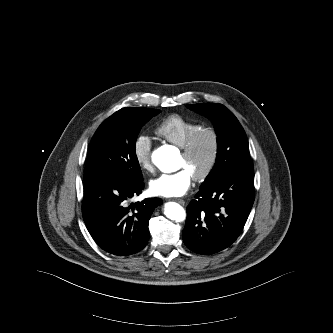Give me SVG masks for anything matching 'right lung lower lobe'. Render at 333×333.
Instances as JSON below:
<instances>
[{
    "instance_id": "98d812e1",
    "label": "right lung lower lobe",
    "mask_w": 333,
    "mask_h": 333,
    "mask_svg": "<svg viewBox=\"0 0 333 333\" xmlns=\"http://www.w3.org/2000/svg\"><path fill=\"white\" fill-rule=\"evenodd\" d=\"M84 182L82 214L95 242L118 256L142 250L149 239V219L162 200L147 198L129 205L128 200L142 192L143 181L85 177Z\"/></svg>"
}]
</instances>
